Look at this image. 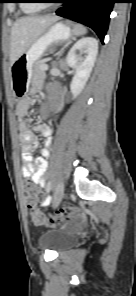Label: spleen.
<instances>
[{"label": "spleen", "mask_w": 136, "mask_h": 296, "mask_svg": "<svg viewBox=\"0 0 136 296\" xmlns=\"http://www.w3.org/2000/svg\"><path fill=\"white\" fill-rule=\"evenodd\" d=\"M73 33L77 36H81L87 33V29L83 25L76 24L73 27Z\"/></svg>", "instance_id": "obj_1"}]
</instances>
